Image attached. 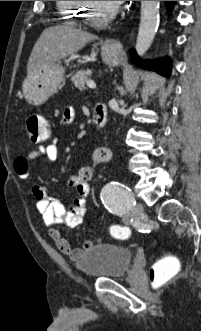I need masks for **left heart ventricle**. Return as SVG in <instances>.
<instances>
[{"label": "left heart ventricle", "mask_w": 201, "mask_h": 331, "mask_svg": "<svg viewBox=\"0 0 201 331\" xmlns=\"http://www.w3.org/2000/svg\"><path fill=\"white\" fill-rule=\"evenodd\" d=\"M91 6L89 14L94 19L102 18L104 15L111 12L115 7H113L107 1H91Z\"/></svg>", "instance_id": "b2bd125f"}]
</instances>
